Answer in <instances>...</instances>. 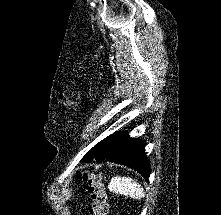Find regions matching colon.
<instances>
[{
	"instance_id": "colon-1",
	"label": "colon",
	"mask_w": 221,
	"mask_h": 215,
	"mask_svg": "<svg viewBox=\"0 0 221 215\" xmlns=\"http://www.w3.org/2000/svg\"><path fill=\"white\" fill-rule=\"evenodd\" d=\"M77 178L85 182L88 186L91 197V204L89 206L90 215H107L109 206L101 176L98 173L79 172Z\"/></svg>"
}]
</instances>
